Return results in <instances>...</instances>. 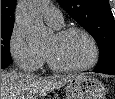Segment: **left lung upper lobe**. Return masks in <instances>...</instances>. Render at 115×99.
Returning a JSON list of instances; mask_svg holds the SVG:
<instances>
[{"mask_svg": "<svg viewBox=\"0 0 115 99\" xmlns=\"http://www.w3.org/2000/svg\"><path fill=\"white\" fill-rule=\"evenodd\" d=\"M62 8L85 28L99 47L96 70L115 69V22L108 0H58Z\"/></svg>", "mask_w": 115, "mask_h": 99, "instance_id": "obj_1", "label": "left lung upper lobe"}]
</instances>
